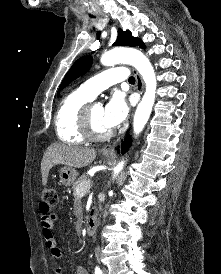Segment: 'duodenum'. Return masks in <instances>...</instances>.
I'll return each mask as SVG.
<instances>
[{
	"mask_svg": "<svg viewBox=\"0 0 221 274\" xmlns=\"http://www.w3.org/2000/svg\"><path fill=\"white\" fill-rule=\"evenodd\" d=\"M97 226H98V219H97L96 215L91 214L90 217L88 218L86 226H85V233L88 236L93 235L97 230Z\"/></svg>",
	"mask_w": 221,
	"mask_h": 274,
	"instance_id": "obj_1",
	"label": "duodenum"
}]
</instances>
